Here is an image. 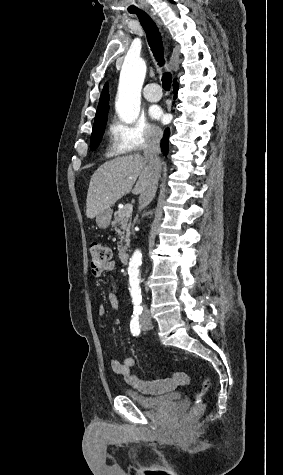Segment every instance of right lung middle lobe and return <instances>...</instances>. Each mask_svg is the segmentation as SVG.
<instances>
[{
  "label": "right lung middle lobe",
  "instance_id": "obj_1",
  "mask_svg": "<svg viewBox=\"0 0 283 475\" xmlns=\"http://www.w3.org/2000/svg\"><path fill=\"white\" fill-rule=\"evenodd\" d=\"M108 110L109 105H103L97 108L90 140L91 150L96 149L101 142L107 122Z\"/></svg>",
  "mask_w": 283,
  "mask_h": 475
}]
</instances>
